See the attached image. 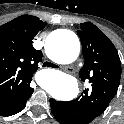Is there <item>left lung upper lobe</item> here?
I'll return each instance as SVG.
<instances>
[{
  "mask_svg": "<svg viewBox=\"0 0 124 124\" xmlns=\"http://www.w3.org/2000/svg\"><path fill=\"white\" fill-rule=\"evenodd\" d=\"M77 33L85 59L80 77L82 81L89 80L91 88L75 100L65 102V106L72 124H89L106 110L116 95L121 62L113 43L94 24H80Z\"/></svg>",
  "mask_w": 124,
  "mask_h": 124,
  "instance_id": "1",
  "label": "left lung upper lobe"
}]
</instances>
